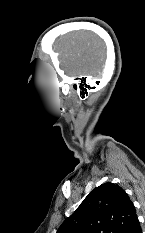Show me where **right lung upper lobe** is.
Segmentation results:
<instances>
[{
  "label": "right lung upper lobe",
  "mask_w": 145,
  "mask_h": 233,
  "mask_svg": "<svg viewBox=\"0 0 145 233\" xmlns=\"http://www.w3.org/2000/svg\"><path fill=\"white\" fill-rule=\"evenodd\" d=\"M136 219L128 194L107 182L87 195L57 233H128Z\"/></svg>",
  "instance_id": "obj_1"
}]
</instances>
